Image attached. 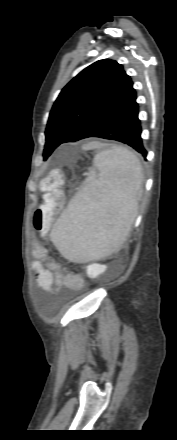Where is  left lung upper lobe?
<instances>
[{
  "label": "left lung upper lobe",
  "instance_id": "5c2ea615",
  "mask_svg": "<svg viewBox=\"0 0 177 440\" xmlns=\"http://www.w3.org/2000/svg\"><path fill=\"white\" fill-rule=\"evenodd\" d=\"M136 94L116 61L99 60L73 78L55 101L45 131L44 160L60 144L82 139Z\"/></svg>",
  "mask_w": 177,
  "mask_h": 440
}]
</instances>
